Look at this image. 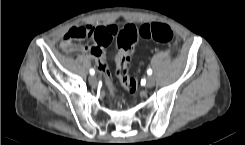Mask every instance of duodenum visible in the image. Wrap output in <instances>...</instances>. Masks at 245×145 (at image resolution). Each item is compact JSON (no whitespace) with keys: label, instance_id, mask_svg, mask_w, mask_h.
Instances as JSON below:
<instances>
[{"label":"duodenum","instance_id":"410a0bca","mask_svg":"<svg viewBox=\"0 0 245 145\" xmlns=\"http://www.w3.org/2000/svg\"><path fill=\"white\" fill-rule=\"evenodd\" d=\"M74 51H75L76 53H85V52H86L84 46H77V45L74 46Z\"/></svg>","mask_w":245,"mask_h":145}]
</instances>
